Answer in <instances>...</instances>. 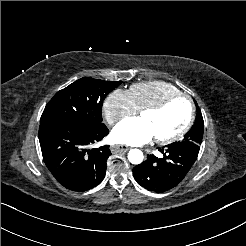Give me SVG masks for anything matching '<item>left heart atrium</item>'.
I'll use <instances>...</instances> for the list:
<instances>
[{
	"label": "left heart atrium",
	"mask_w": 246,
	"mask_h": 246,
	"mask_svg": "<svg viewBox=\"0 0 246 246\" xmlns=\"http://www.w3.org/2000/svg\"><path fill=\"white\" fill-rule=\"evenodd\" d=\"M153 137L151 129L138 117L123 120L112 133L114 142L129 145L145 144Z\"/></svg>",
	"instance_id": "39dd6f15"
}]
</instances>
